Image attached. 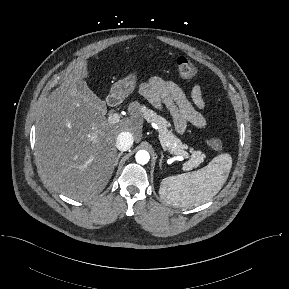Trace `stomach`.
I'll use <instances>...</instances> for the list:
<instances>
[{"mask_svg": "<svg viewBox=\"0 0 289 289\" xmlns=\"http://www.w3.org/2000/svg\"><path fill=\"white\" fill-rule=\"evenodd\" d=\"M137 82V72H132L128 76L118 80L111 88L113 96L125 98L135 89Z\"/></svg>", "mask_w": 289, "mask_h": 289, "instance_id": "1", "label": "stomach"}]
</instances>
